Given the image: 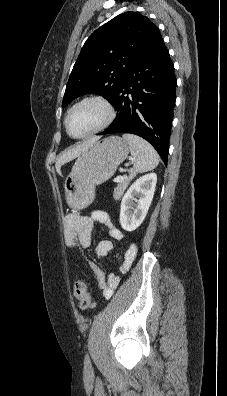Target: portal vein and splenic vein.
I'll list each match as a JSON object with an SVG mask.
<instances>
[{
  "label": "portal vein and splenic vein",
  "mask_w": 227,
  "mask_h": 396,
  "mask_svg": "<svg viewBox=\"0 0 227 396\" xmlns=\"http://www.w3.org/2000/svg\"><path fill=\"white\" fill-rule=\"evenodd\" d=\"M123 180V176H117L116 181L121 182Z\"/></svg>",
  "instance_id": "1"
}]
</instances>
